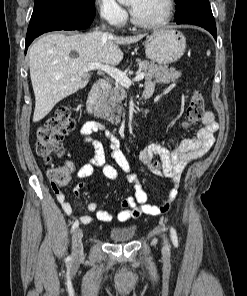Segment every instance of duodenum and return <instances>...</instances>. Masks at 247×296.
Returning <instances> with one entry per match:
<instances>
[{"label":"duodenum","mask_w":247,"mask_h":296,"mask_svg":"<svg viewBox=\"0 0 247 296\" xmlns=\"http://www.w3.org/2000/svg\"><path fill=\"white\" fill-rule=\"evenodd\" d=\"M109 90H110V83L106 80H99L94 84L86 102V111L88 115H90L91 117L100 116L99 104ZM151 95H152V92L150 91L144 92L145 98H149L151 97Z\"/></svg>","instance_id":"1"}]
</instances>
